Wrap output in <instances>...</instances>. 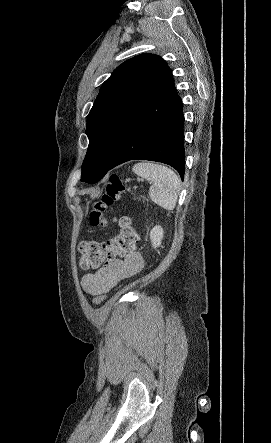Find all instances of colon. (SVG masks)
<instances>
[{
	"instance_id": "1",
	"label": "colon",
	"mask_w": 271,
	"mask_h": 443,
	"mask_svg": "<svg viewBox=\"0 0 271 443\" xmlns=\"http://www.w3.org/2000/svg\"><path fill=\"white\" fill-rule=\"evenodd\" d=\"M129 188L117 175H112L105 187L102 196L93 203L90 213V222L93 226H106L108 219L105 216V210L108 206L120 199ZM119 225V233L111 238L107 243L95 241H84L79 245L81 253L80 267L83 270H96L104 262L113 258L120 257L133 251L138 242V234L134 225L128 217H120L115 220ZM106 298V295L99 294L93 298V304L99 305Z\"/></svg>"
}]
</instances>
